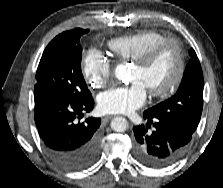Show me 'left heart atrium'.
Instances as JSON below:
<instances>
[{
  "instance_id": "obj_1",
  "label": "left heart atrium",
  "mask_w": 223,
  "mask_h": 188,
  "mask_svg": "<svg viewBox=\"0 0 223 188\" xmlns=\"http://www.w3.org/2000/svg\"><path fill=\"white\" fill-rule=\"evenodd\" d=\"M147 90L139 81L128 86L112 87L99 94L98 109L104 114H128L146 101Z\"/></svg>"
}]
</instances>
